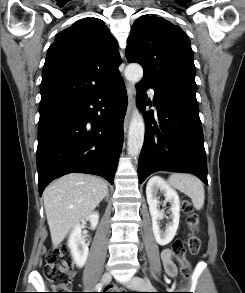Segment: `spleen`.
Instances as JSON below:
<instances>
[{
  "instance_id": "obj_1",
  "label": "spleen",
  "mask_w": 245,
  "mask_h": 293,
  "mask_svg": "<svg viewBox=\"0 0 245 293\" xmlns=\"http://www.w3.org/2000/svg\"><path fill=\"white\" fill-rule=\"evenodd\" d=\"M168 183L189 196L196 210H200L204 205L205 192L202 182L190 174L175 173L172 174Z\"/></svg>"
}]
</instances>
